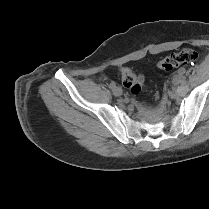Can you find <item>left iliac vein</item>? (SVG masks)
<instances>
[{
	"label": "left iliac vein",
	"instance_id": "obj_1",
	"mask_svg": "<svg viewBox=\"0 0 209 209\" xmlns=\"http://www.w3.org/2000/svg\"><path fill=\"white\" fill-rule=\"evenodd\" d=\"M182 81V75L179 72H176L173 75V79H172V86L173 87H178L179 83H181Z\"/></svg>",
	"mask_w": 209,
	"mask_h": 209
}]
</instances>
